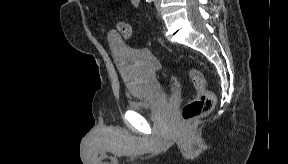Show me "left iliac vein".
<instances>
[{"label": "left iliac vein", "instance_id": "1", "mask_svg": "<svg viewBox=\"0 0 288 164\" xmlns=\"http://www.w3.org/2000/svg\"><path fill=\"white\" fill-rule=\"evenodd\" d=\"M157 9H158V12H160V8H159V6H157Z\"/></svg>", "mask_w": 288, "mask_h": 164}]
</instances>
